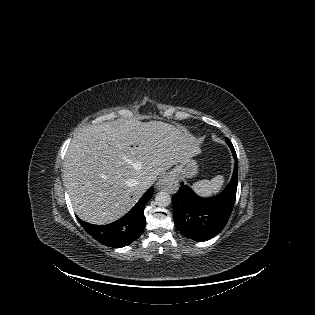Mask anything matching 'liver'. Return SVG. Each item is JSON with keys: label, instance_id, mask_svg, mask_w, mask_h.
<instances>
[{"label": "liver", "instance_id": "1", "mask_svg": "<svg viewBox=\"0 0 315 315\" xmlns=\"http://www.w3.org/2000/svg\"><path fill=\"white\" fill-rule=\"evenodd\" d=\"M200 151L199 141L181 127L161 121L123 120L83 129L71 141L63 181L75 213L93 224L126 214L173 165Z\"/></svg>", "mask_w": 315, "mask_h": 315}]
</instances>
